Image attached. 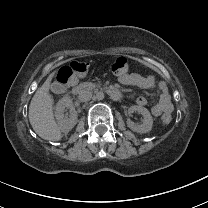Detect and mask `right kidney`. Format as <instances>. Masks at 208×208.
<instances>
[{"label":"right kidney","instance_id":"obj_1","mask_svg":"<svg viewBox=\"0 0 208 208\" xmlns=\"http://www.w3.org/2000/svg\"><path fill=\"white\" fill-rule=\"evenodd\" d=\"M66 108L70 110L69 116L64 114ZM55 117L59 129L64 133H68L76 125L77 111L70 97L64 96L57 102L55 106Z\"/></svg>","mask_w":208,"mask_h":208}]
</instances>
